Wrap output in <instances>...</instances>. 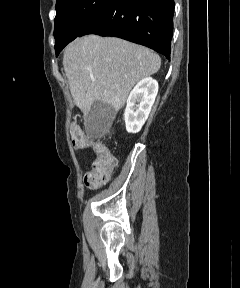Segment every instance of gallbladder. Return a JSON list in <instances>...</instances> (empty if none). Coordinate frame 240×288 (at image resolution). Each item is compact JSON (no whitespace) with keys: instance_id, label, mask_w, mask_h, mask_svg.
Listing matches in <instances>:
<instances>
[{"instance_id":"gallbladder-1","label":"gallbladder","mask_w":240,"mask_h":288,"mask_svg":"<svg viewBox=\"0 0 240 288\" xmlns=\"http://www.w3.org/2000/svg\"><path fill=\"white\" fill-rule=\"evenodd\" d=\"M111 113L112 110L109 106L100 101H96L87 114L86 121L87 123H92L96 120L109 121Z\"/></svg>"}]
</instances>
